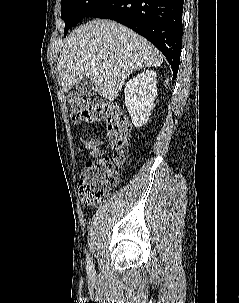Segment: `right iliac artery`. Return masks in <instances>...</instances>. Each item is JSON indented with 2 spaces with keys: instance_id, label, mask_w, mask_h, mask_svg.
<instances>
[{
  "instance_id": "obj_1",
  "label": "right iliac artery",
  "mask_w": 239,
  "mask_h": 303,
  "mask_svg": "<svg viewBox=\"0 0 239 303\" xmlns=\"http://www.w3.org/2000/svg\"><path fill=\"white\" fill-rule=\"evenodd\" d=\"M87 269L90 273L94 272V266L89 255L87 256Z\"/></svg>"
}]
</instances>
